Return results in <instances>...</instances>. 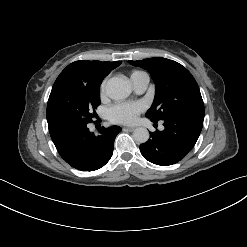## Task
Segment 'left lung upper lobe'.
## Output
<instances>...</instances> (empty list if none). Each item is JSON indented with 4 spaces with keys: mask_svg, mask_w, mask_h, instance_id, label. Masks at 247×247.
Listing matches in <instances>:
<instances>
[{
    "mask_svg": "<svg viewBox=\"0 0 247 247\" xmlns=\"http://www.w3.org/2000/svg\"><path fill=\"white\" fill-rule=\"evenodd\" d=\"M129 63L146 69L155 82V99L146 112L153 122L176 115L204 118V103L198 84L184 66L162 57Z\"/></svg>",
    "mask_w": 247,
    "mask_h": 247,
    "instance_id": "obj_1",
    "label": "left lung upper lobe"
}]
</instances>
